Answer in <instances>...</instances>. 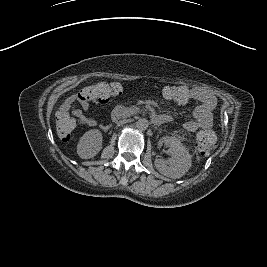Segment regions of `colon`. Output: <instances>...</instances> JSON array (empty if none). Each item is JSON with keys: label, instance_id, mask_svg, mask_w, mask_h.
I'll return each mask as SVG.
<instances>
[{"label": "colon", "instance_id": "obj_1", "mask_svg": "<svg viewBox=\"0 0 267 267\" xmlns=\"http://www.w3.org/2000/svg\"><path fill=\"white\" fill-rule=\"evenodd\" d=\"M119 83L100 82L84 87L78 93V99L84 104L109 103L116 100L123 92ZM166 99L178 104L184 103L188 92L178 86H167L163 90ZM76 125L75 118L68 112L58 114L56 131L60 139H69ZM216 148V136L211 130H202L196 135V149L200 155L208 156Z\"/></svg>", "mask_w": 267, "mask_h": 267}]
</instances>
